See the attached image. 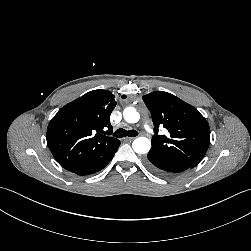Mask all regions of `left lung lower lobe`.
<instances>
[{
	"label": "left lung lower lobe",
	"instance_id": "0a47b994",
	"mask_svg": "<svg viewBox=\"0 0 251 251\" xmlns=\"http://www.w3.org/2000/svg\"><path fill=\"white\" fill-rule=\"evenodd\" d=\"M145 163L151 171L162 177H172L189 168H193L179 160L150 151Z\"/></svg>",
	"mask_w": 251,
	"mask_h": 251
}]
</instances>
